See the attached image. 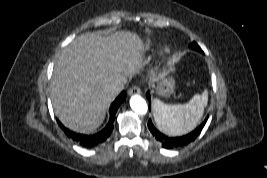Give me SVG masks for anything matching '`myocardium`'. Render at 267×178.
Masks as SVG:
<instances>
[{
    "mask_svg": "<svg viewBox=\"0 0 267 178\" xmlns=\"http://www.w3.org/2000/svg\"><path fill=\"white\" fill-rule=\"evenodd\" d=\"M171 52H172L171 47L166 45V46H163V47L161 48V50H160V55H161L162 57H165V56L170 55Z\"/></svg>",
    "mask_w": 267,
    "mask_h": 178,
    "instance_id": "f54148a6",
    "label": "myocardium"
}]
</instances>
